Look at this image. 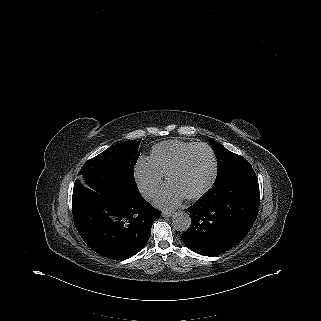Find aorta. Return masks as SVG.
Masks as SVG:
<instances>
[{
    "instance_id": "aorta-1",
    "label": "aorta",
    "mask_w": 321,
    "mask_h": 321,
    "mask_svg": "<svg viewBox=\"0 0 321 321\" xmlns=\"http://www.w3.org/2000/svg\"><path fill=\"white\" fill-rule=\"evenodd\" d=\"M172 226L176 231L185 232L191 226V217L186 212H176L172 216Z\"/></svg>"
}]
</instances>
